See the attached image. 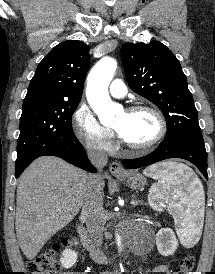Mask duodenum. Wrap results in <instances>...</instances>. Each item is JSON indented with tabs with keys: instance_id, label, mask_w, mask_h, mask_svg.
<instances>
[{
	"instance_id": "obj_1",
	"label": "duodenum",
	"mask_w": 215,
	"mask_h": 274,
	"mask_svg": "<svg viewBox=\"0 0 215 274\" xmlns=\"http://www.w3.org/2000/svg\"><path fill=\"white\" fill-rule=\"evenodd\" d=\"M78 233L83 247L90 253L94 260L100 263L111 262L109 255L92 241L86 229L82 225L78 226Z\"/></svg>"
}]
</instances>
